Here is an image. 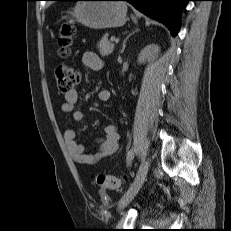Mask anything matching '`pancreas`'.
<instances>
[{
	"label": "pancreas",
	"mask_w": 231,
	"mask_h": 231,
	"mask_svg": "<svg viewBox=\"0 0 231 231\" xmlns=\"http://www.w3.org/2000/svg\"><path fill=\"white\" fill-rule=\"evenodd\" d=\"M98 49L101 56L110 55L114 50V44L108 40V34H105L98 43Z\"/></svg>",
	"instance_id": "pancreas-1"
}]
</instances>
